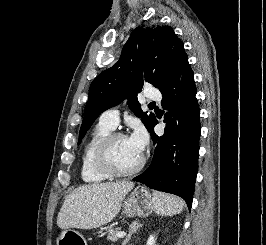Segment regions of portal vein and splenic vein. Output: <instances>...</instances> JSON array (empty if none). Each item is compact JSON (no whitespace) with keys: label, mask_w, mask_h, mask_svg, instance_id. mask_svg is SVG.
<instances>
[{"label":"portal vein and splenic vein","mask_w":266,"mask_h":245,"mask_svg":"<svg viewBox=\"0 0 266 245\" xmlns=\"http://www.w3.org/2000/svg\"><path fill=\"white\" fill-rule=\"evenodd\" d=\"M126 233H124V231H122V233H118L117 237H119V239H123V237H125Z\"/></svg>","instance_id":"portal-vein-and-splenic-vein-1"}]
</instances>
